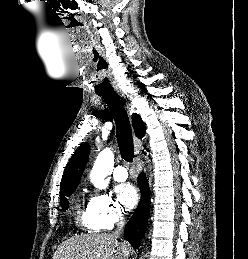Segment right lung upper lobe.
I'll use <instances>...</instances> for the list:
<instances>
[{"mask_svg": "<svg viewBox=\"0 0 248 259\" xmlns=\"http://www.w3.org/2000/svg\"><path fill=\"white\" fill-rule=\"evenodd\" d=\"M132 123L136 136L142 138L145 135V125L138 114H133ZM89 152V145L82 143L72 155L60 184V193L76 189L87 163Z\"/></svg>", "mask_w": 248, "mask_h": 259, "instance_id": "cb5924a9", "label": "right lung upper lobe"}]
</instances>
